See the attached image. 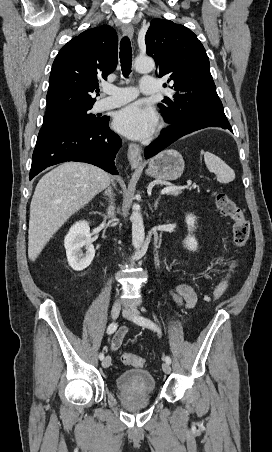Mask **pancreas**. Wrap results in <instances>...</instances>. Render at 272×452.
Returning a JSON list of instances; mask_svg holds the SVG:
<instances>
[{
	"label": "pancreas",
	"instance_id": "cf45deb5",
	"mask_svg": "<svg viewBox=\"0 0 272 452\" xmlns=\"http://www.w3.org/2000/svg\"><path fill=\"white\" fill-rule=\"evenodd\" d=\"M180 193H181V190H175V191L170 192V195L177 196Z\"/></svg>",
	"mask_w": 272,
	"mask_h": 452
}]
</instances>
